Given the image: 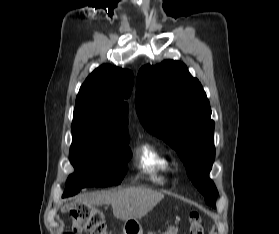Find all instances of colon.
<instances>
[{"instance_id": "colon-1", "label": "colon", "mask_w": 279, "mask_h": 234, "mask_svg": "<svg viewBox=\"0 0 279 234\" xmlns=\"http://www.w3.org/2000/svg\"><path fill=\"white\" fill-rule=\"evenodd\" d=\"M72 231L67 234H112L103 214L91 207H77L72 211ZM189 234H204V228L197 212L189 216Z\"/></svg>"}]
</instances>
